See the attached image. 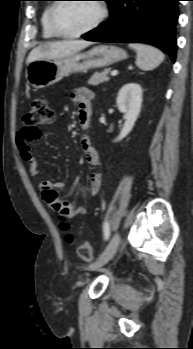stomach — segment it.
I'll list each match as a JSON object with an SVG mask.
<instances>
[{"label":"stomach","mask_w":193,"mask_h":349,"mask_svg":"<svg viewBox=\"0 0 193 349\" xmlns=\"http://www.w3.org/2000/svg\"><path fill=\"white\" fill-rule=\"evenodd\" d=\"M126 57L127 53L120 47L98 45L87 52L60 59L32 61L28 64L26 78L33 87L40 89L59 82L69 74L107 67Z\"/></svg>","instance_id":"1"}]
</instances>
